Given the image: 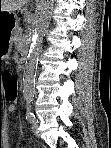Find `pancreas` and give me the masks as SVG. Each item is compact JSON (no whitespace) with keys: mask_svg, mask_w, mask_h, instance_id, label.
Listing matches in <instances>:
<instances>
[{"mask_svg":"<svg viewBox=\"0 0 111 148\" xmlns=\"http://www.w3.org/2000/svg\"><path fill=\"white\" fill-rule=\"evenodd\" d=\"M14 38H15V40H16L18 43L20 42V40H22V41L25 40L24 35L20 32L19 29H18V30H15V32H14Z\"/></svg>","mask_w":111,"mask_h":148,"instance_id":"cf45deb5","label":"pancreas"}]
</instances>
